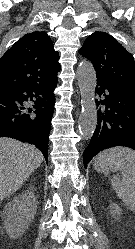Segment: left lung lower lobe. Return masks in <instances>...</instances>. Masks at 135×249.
I'll return each mask as SVG.
<instances>
[{"label": "left lung lower lobe", "instance_id": "1", "mask_svg": "<svg viewBox=\"0 0 135 249\" xmlns=\"http://www.w3.org/2000/svg\"><path fill=\"white\" fill-rule=\"evenodd\" d=\"M96 130L83 152L86 168L100 151L113 146L135 150V91L97 81Z\"/></svg>", "mask_w": 135, "mask_h": 249}]
</instances>
